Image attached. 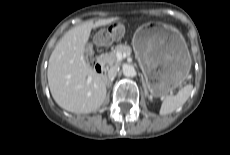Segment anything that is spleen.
Here are the masks:
<instances>
[{"label":"spleen","instance_id":"1","mask_svg":"<svg viewBox=\"0 0 230 155\" xmlns=\"http://www.w3.org/2000/svg\"><path fill=\"white\" fill-rule=\"evenodd\" d=\"M193 86L191 84L181 88L175 96H166L160 108V115H167L181 106L188 100Z\"/></svg>","mask_w":230,"mask_h":155}]
</instances>
